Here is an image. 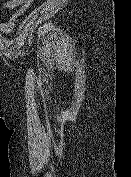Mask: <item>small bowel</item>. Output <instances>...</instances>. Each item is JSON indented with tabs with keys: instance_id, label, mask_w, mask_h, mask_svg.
I'll return each mask as SVG.
<instances>
[{
	"instance_id": "1",
	"label": "small bowel",
	"mask_w": 131,
	"mask_h": 177,
	"mask_svg": "<svg viewBox=\"0 0 131 177\" xmlns=\"http://www.w3.org/2000/svg\"><path fill=\"white\" fill-rule=\"evenodd\" d=\"M33 2L34 0H2V7L6 9H13L14 13L7 23L0 24V30L5 33L10 32L13 29L17 19L26 12Z\"/></svg>"
}]
</instances>
